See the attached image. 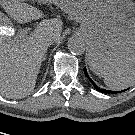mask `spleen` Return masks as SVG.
<instances>
[{
	"instance_id": "1",
	"label": "spleen",
	"mask_w": 135,
	"mask_h": 135,
	"mask_svg": "<svg viewBox=\"0 0 135 135\" xmlns=\"http://www.w3.org/2000/svg\"><path fill=\"white\" fill-rule=\"evenodd\" d=\"M103 77L104 83L109 88L113 90H123L135 84V65L122 72L104 75Z\"/></svg>"
}]
</instances>
